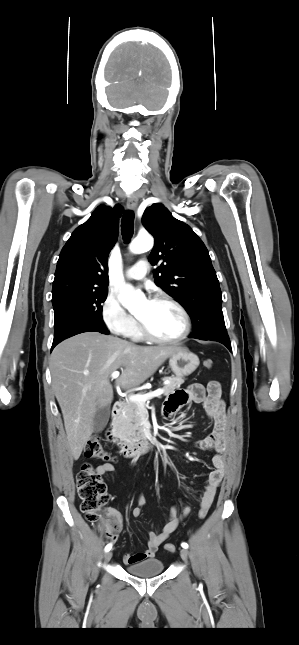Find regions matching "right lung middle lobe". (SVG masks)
<instances>
[{
  "label": "right lung middle lobe",
  "instance_id": "right-lung-middle-lobe-1",
  "mask_svg": "<svg viewBox=\"0 0 299 645\" xmlns=\"http://www.w3.org/2000/svg\"><path fill=\"white\" fill-rule=\"evenodd\" d=\"M107 293V290L67 291L52 298L54 340L83 326L105 329L101 303L106 300Z\"/></svg>",
  "mask_w": 299,
  "mask_h": 645
}]
</instances>
